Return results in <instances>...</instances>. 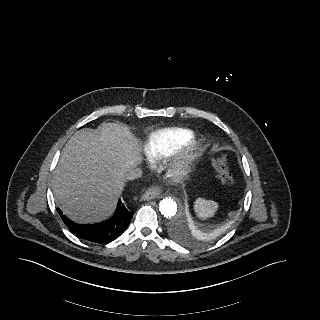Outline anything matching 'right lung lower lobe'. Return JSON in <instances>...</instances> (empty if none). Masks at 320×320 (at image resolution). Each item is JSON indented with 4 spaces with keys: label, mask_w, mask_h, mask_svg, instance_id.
Masks as SVG:
<instances>
[{
    "label": "right lung lower lobe",
    "mask_w": 320,
    "mask_h": 320,
    "mask_svg": "<svg viewBox=\"0 0 320 320\" xmlns=\"http://www.w3.org/2000/svg\"><path fill=\"white\" fill-rule=\"evenodd\" d=\"M57 211L73 234L83 240L99 244H106L118 238L125 231L133 216V212L126 209L121 200H119L115 214L110 220L95 225L76 224L63 215L59 208Z\"/></svg>",
    "instance_id": "98d812e1"
}]
</instances>
